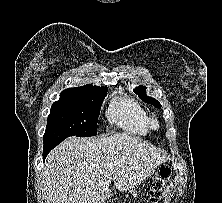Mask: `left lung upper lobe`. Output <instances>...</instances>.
Listing matches in <instances>:
<instances>
[{"label":"left lung upper lobe","mask_w":222,"mask_h":203,"mask_svg":"<svg viewBox=\"0 0 222 203\" xmlns=\"http://www.w3.org/2000/svg\"><path fill=\"white\" fill-rule=\"evenodd\" d=\"M145 89H146V87L140 85L134 89V92L138 94V96L140 97L141 100H143L147 103L153 104L154 106H156L158 108H161V104L156 99L146 95Z\"/></svg>","instance_id":"left-lung-upper-lobe-1"}]
</instances>
